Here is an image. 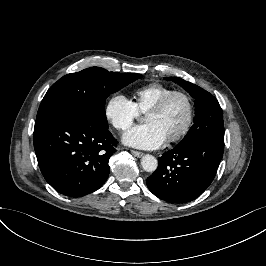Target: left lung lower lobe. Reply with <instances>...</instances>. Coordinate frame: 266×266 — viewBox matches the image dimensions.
<instances>
[{
  "label": "left lung lower lobe",
  "instance_id": "left-lung-lower-lobe-1",
  "mask_svg": "<svg viewBox=\"0 0 266 266\" xmlns=\"http://www.w3.org/2000/svg\"><path fill=\"white\" fill-rule=\"evenodd\" d=\"M223 151L224 140L217 138H202L175 147L158 158V168L147 178V186L167 202H190L213 181Z\"/></svg>",
  "mask_w": 266,
  "mask_h": 266
}]
</instances>
